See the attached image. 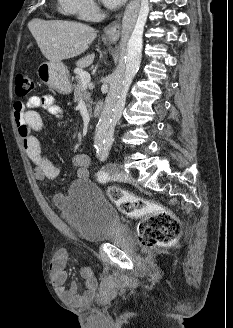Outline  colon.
Returning <instances> with one entry per match:
<instances>
[{"mask_svg":"<svg viewBox=\"0 0 233 328\" xmlns=\"http://www.w3.org/2000/svg\"><path fill=\"white\" fill-rule=\"evenodd\" d=\"M34 89V79L26 72L15 76V93L24 98ZM110 200L126 216L142 219L137 235L144 247L167 246L180 235V224L176 216L160 205L134 196L120 188L108 189Z\"/></svg>","mask_w":233,"mask_h":328,"instance_id":"obj_1","label":"colon"}]
</instances>
